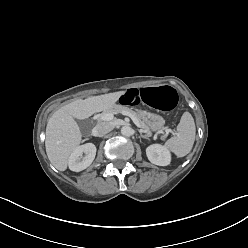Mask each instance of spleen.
I'll list each match as a JSON object with an SVG mask.
<instances>
[{"mask_svg": "<svg viewBox=\"0 0 248 248\" xmlns=\"http://www.w3.org/2000/svg\"><path fill=\"white\" fill-rule=\"evenodd\" d=\"M177 135L170 138L165 147L171 150L177 157L186 156L192 149L196 128L192 115L189 112H184L180 123L177 126Z\"/></svg>", "mask_w": 248, "mask_h": 248, "instance_id": "spleen-1", "label": "spleen"}]
</instances>
